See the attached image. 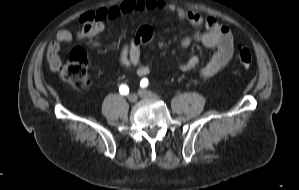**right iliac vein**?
Listing matches in <instances>:
<instances>
[{"label": "right iliac vein", "instance_id": "obj_1", "mask_svg": "<svg viewBox=\"0 0 299 190\" xmlns=\"http://www.w3.org/2000/svg\"><path fill=\"white\" fill-rule=\"evenodd\" d=\"M128 100H129V102H131V103H135V102L137 101V95L134 94V93L128 95Z\"/></svg>", "mask_w": 299, "mask_h": 190}]
</instances>
